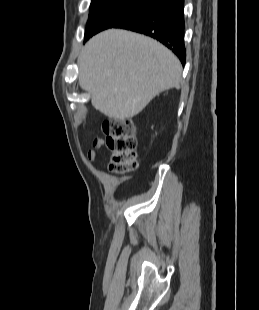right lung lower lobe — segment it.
<instances>
[{"label": "right lung lower lobe", "mask_w": 259, "mask_h": 310, "mask_svg": "<svg viewBox=\"0 0 259 310\" xmlns=\"http://www.w3.org/2000/svg\"><path fill=\"white\" fill-rule=\"evenodd\" d=\"M184 0H158L114 28H123L148 35L168 47L184 65Z\"/></svg>", "instance_id": "98d812e1"}]
</instances>
